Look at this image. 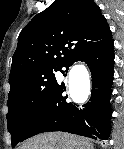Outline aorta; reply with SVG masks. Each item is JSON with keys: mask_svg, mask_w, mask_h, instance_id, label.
Listing matches in <instances>:
<instances>
[{"mask_svg": "<svg viewBox=\"0 0 124 149\" xmlns=\"http://www.w3.org/2000/svg\"><path fill=\"white\" fill-rule=\"evenodd\" d=\"M70 86L72 87L73 85H75V82L78 79L84 80L86 77V71L79 66L74 67L71 72H70Z\"/></svg>", "mask_w": 124, "mask_h": 149, "instance_id": "1", "label": "aorta"}]
</instances>
